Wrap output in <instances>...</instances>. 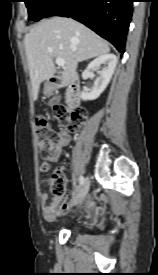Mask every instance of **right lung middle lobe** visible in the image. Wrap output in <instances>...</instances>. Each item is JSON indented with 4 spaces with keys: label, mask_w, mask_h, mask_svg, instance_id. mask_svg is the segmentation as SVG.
Returning <instances> with one entry per match:
<instances>
[{
    "label": "right lung middle lobe",
    "mask_w": 158,
    "mask_h": 275,
    "mask_svg": "<svg viewBox=\"0 0 158 275\" xmlns=\"http://www.w3.org/2000/svg\"><path fill=\"white\" fill-rule=\"evenodd\" d=\"M28 8L29 19L39 21L60 0H24Z\"/></svg>",
    "instance_id": "obj_1"
}]
</instances>
